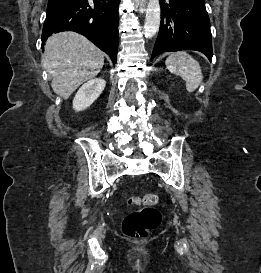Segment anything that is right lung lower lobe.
<instances>
[{
    "mask_svg": "<svg viewBox=\"0 0 261 273\" xmlns=\"http://www.w3.org/2000/svg\"><path fill=\"white\" fill-rule=\"evenodd\" d=\"M108 1L102 3L100 0H49L42 32V46L53 33L75 31L106 52L115 64L120 0Z\"/></svg>",
    "mask_w": 261,
    "mask_h": 273,
    "instance_id": "obj_1",
    "label": "right lung lower lobe"
}]
</instances>
